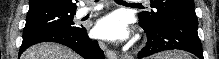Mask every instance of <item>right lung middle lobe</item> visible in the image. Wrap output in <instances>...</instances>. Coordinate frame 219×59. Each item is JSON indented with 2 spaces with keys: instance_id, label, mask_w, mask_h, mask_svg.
<instances>
[{
  "instance_id": "dd1d6c3e",
  "label": "right lung middle lobe",
  "mask_w": 219,
  "mask_h": 59,
  "mask_svg": "<svg viewBox=\"0 0 219 59\" xmlns=\"http://www.w3.org/2000/svg\"><path fill=\"white\" fill-rule=\"evenodd\" d=\"M75 11L47 9L29 12L23 31V38L37 33L52 30L77 31L80 27L74 26Z\"/></svg>"
}]
</instances>
